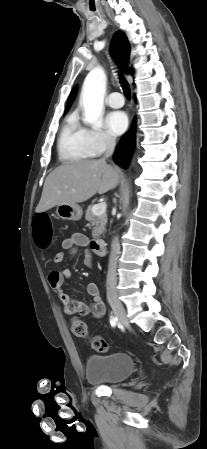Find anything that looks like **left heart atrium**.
Here are the masks:
<instances>
[{"label": "left heart atrium", "instance_id": "obj_1", "mask_svg": "<svg viewBox=\"0 0 207 449\" xmlns=\"http://www.w3.org/2000/svg\"><path fill=\"white\" fill-rule=\"evenodd\" d=\"M105 122L109 133L117 136L124 133L127 129L128 117L122 111H114L107 115Z\"/></svg>", "mask_w": 207, "mask_h": 449}]
</instances>
